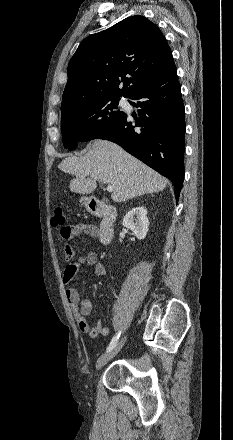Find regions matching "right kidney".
I'll return each instance as SVG.
<instances>
[{
  "label": "right kidney",
  "instance_id": "right-kidney-1",
  "mask_svg": "<svg viewBox=\"0 0 233 440\" xmlns=\"http://www.w3.org/2000/svg\"><path fill=\"white\" fill-rule=\"evenodd\" d=\"M122 224L129 228L136 238L144 239L149 230L147 209L143 206L133 208L124 216Z\"/></svg>",
  "mask_w": 233,
  "mask_h": 440
}]
</instances>
